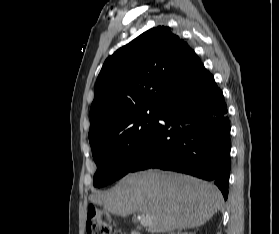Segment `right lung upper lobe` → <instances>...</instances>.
Listing matches in <instances>:
<instances>
[{
  "label": "right lung upper lobe",
  "mask_w": 279,
  "mask_h": 234,
  "mask_svg": "<svg viewBox=\"0 0 279 234\" xmlns=\"http://www.w3.org/2000/svg\"><path fill=\"white\" fill-rule=\"evenodd\" d=\"M202 65L169 27L152 28L109 56L95 85L90 109V144L125 117L160 108Z\"/></svg>",
  "instance_id": "1"
}]
</instances>
